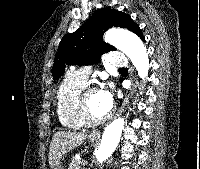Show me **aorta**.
Here are the masks:
<instances>
[{
	"mask_svg": "<svg viewBox=\"0 0 200 169\" xmlns=\"http://www.w3.org/2000/svg\"><path fill=\"white\" fill-rule=\"evenodd\" d=\"M105 41L129 57L141 79L145 80L147 78L149 71L148 53L138 36L126 31L109 30L105 34ZM124 123V118H118L106 126L100 147L95 154L99 163L102 164L106 161L116 149L122 135Z\"/></svg>",
	"mask_w": 200,
	"mask_h": 169,
	"instance_id": "obj_1",
	"label": "aorta"
}]
</instances>
